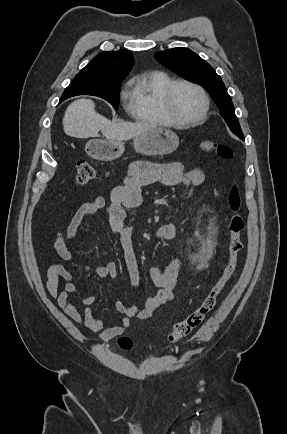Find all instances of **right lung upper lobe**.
<instances>
[{"mask_svg":"<svg viewBox=\"0 0 287 434\" xmlns=\"http://www.w3.org/2000/svg\"><path fill=\"white\" fill-rule=\"evenodd\" d=\"M134 64L130 51H105L97 55L77 76L123 80Z\"/></svg>","mask_w":287,"mask_h":434,"instance_id":"cb5924a9","label":"right lung upper lobe"}]
</instances>
